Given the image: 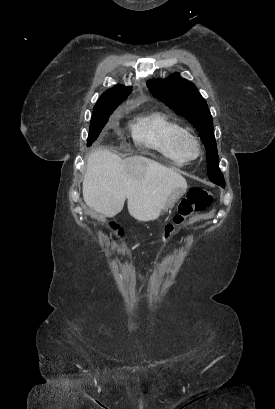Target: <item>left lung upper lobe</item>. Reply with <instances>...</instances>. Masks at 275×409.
Listing matches in <instances>:
<instances>
[{"instance_id":"obj_1","label":"left lung upper lobe","mask_w":275,"mask_h":409,"mask_svg":"<svg viewBox=\"0 0 275 409\" xmlns=\"http://www.w3.org/2000/svg\"><path fill=\"white\" fill-rule=\"evenodd\" d=\"M147 86L155 97L196 127L207 150L206 161L209 179L224 187L225 181L219 169L212 116L206 101L195 85L175 73L166 79L149 80Z\"/></svg>"}]
</instances>
